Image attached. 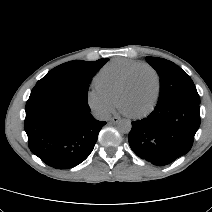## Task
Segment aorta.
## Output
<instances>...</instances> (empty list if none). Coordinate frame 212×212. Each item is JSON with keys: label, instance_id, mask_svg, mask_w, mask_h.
<instances>
[{"label": "aorta", "instance_id": "obj_1", "mask_svg": "<svg viewBox=\"0 0 212 212\" xmlns=\"http://www.w3.org/2000/svg\"><path fill=\"white\" fill-rule=\"evenodd\" d=\"M132 125L130 120H121L118 123V130L121 133L127 134L131 131Z\"/></svg>", "mask_w": 212, "mask_h": 212}]
</instances>
